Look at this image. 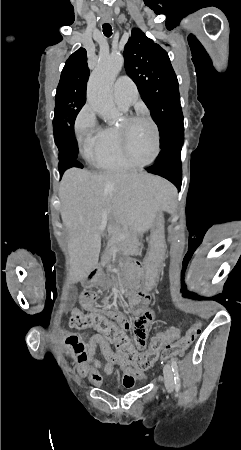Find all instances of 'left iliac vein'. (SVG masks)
<instances>
[{
  "instance_id": "4c4485c4",
  "label": "left iliac vein",
  "mask_w": 241,
  "mask_h": 450,
  "mask_svg": "<svg viewBox=\"0 0 241 450\" xmlns=\"http://www.w3.org/2000/svg\"><path fill=\"white\" fill-rule=\"evenodd\" d=\"M163 373L166 389L168 393H172L174 391V380L172 370L169 364H165L163 366Z\"/></svg>"
}]
</instances>
